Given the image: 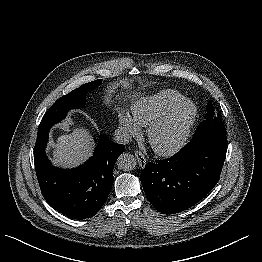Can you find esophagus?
Instances as JSON below:
<instances>
[{"label":"esophagus","mask_w":262,"mask_h":262,"mask_svg":"<svg viewBox=\"0 0 262 262\" xmlns=\"http://www.w3.org/2000/svg\"><path fill=\"white\" fill-rule=\"evenodd\" d=\"M135 156L138 160V163L141 167H145L146 163H147V160L144 156V154L141 152V151H136L135 152Z\"/></svg>","instance_id":"esophagus-1"}]
</instances>
